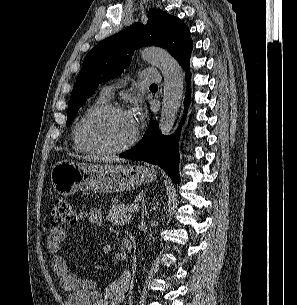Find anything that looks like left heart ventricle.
I'll return each mask as SVG.
<instances>
[{"instance_id": "1", "label": "left heart ventricle", "mask_w": 297, "mask_h": 305, "mask_svg": "<svg viewBox=\"0 0 297 305\" xmlns=\"http://www.w3.org/2000/svg\"><path fill=\"white\" fill-rule=\"evenodd\" d=\"M135 127L127 113H110L91 119L85 126L88 139L106 148L125 144L133 135Z\"/></svg>"}]
</instances>
